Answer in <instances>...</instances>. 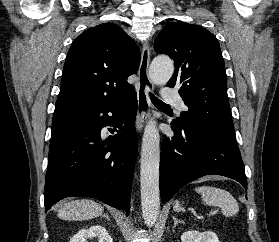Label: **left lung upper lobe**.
Listing matches in <instances>:
<instances>
[{
	"mask_svg": "<svg viewBox=\"0 0 279 242\" xmlns=\"http://www.w3.org/2000/svg\"><path fill=\"white\" fill-rule=\"evenodd\" d=\"M154 49L174 60L175 72L167 86L179 88L189 108L173 122L181 129L212 132L235 141L227 76L215 36L198 25L171 23L158 34Z\"/></svg>",
	"mask_w": 279,
	"mask_h": 242,
	"instance_id": "obj_1",
	"label": "left lung upper lobe"
}]
</instances>
